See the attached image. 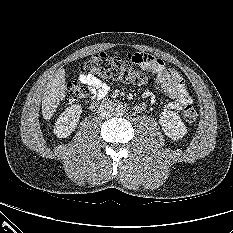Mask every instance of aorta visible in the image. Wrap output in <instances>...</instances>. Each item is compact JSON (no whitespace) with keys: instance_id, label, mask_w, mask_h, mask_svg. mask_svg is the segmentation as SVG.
I'll use <instances>...</instances> for the list:
<instances>
[{"instance_id":"obj_1","label":"aorta","mask_w":233,"mask_h":233,"mask_svg":"<svg viewBox=\"0 0 233 233\" xmlns=\"http://www.w3.org/2000/svg\"><path fill=\"white\" fill-rule=\"evenodd\" d=\"M115 111H116L117 115L122 116L126 113V107L124 105L120 104L116 107Z\"/></svg>"}]
</instances>
